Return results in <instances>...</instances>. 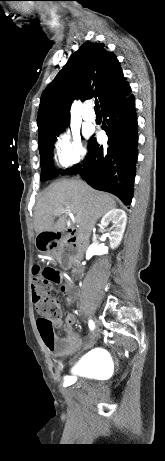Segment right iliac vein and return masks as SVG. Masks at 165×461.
I'll return each mask as SVG.
<instances>
[{
  "instance_id": "1",
  "label": "right iliac vein",
  "mask_w": 165,
  "mask_h": 461,
  "mask_svg": "<svg viewBox=\"0 0 165 461\" xmlns=\"http://www.w3.org/2000/svg\"><path fill=\"white\" fill-rule=\"evenodd\" d=\"M97 335H98V333H97V330L95 329L94 332H93V334H92V336H91V342H92V343L96 340Z\"/></svg>"
}]
</instances>
